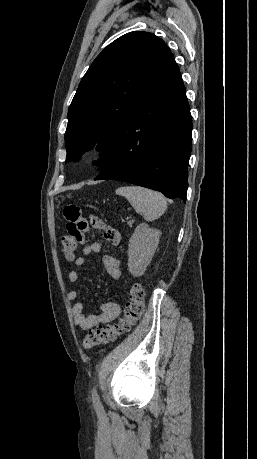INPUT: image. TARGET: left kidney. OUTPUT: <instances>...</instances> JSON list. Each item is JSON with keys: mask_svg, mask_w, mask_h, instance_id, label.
<instances>
[{"mask_svg": "<svg viewBox=\"0 0 257 459\" xmlns=\"http://www.w3.org/2000/svg\"><path fill=\"white\" fill-rule=\"evenodd\" d=\"M161 232L142 223L137 226L128 244V270L134 277L142 276L158 247Z\"/></svg>", "mask_w": 257, "mask_h": 459, "instance_id": "left-kidney-1", "label": "left kidney"}]
</instances>
